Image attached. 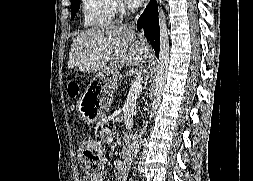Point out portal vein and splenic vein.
Instances as JSON below:
<instances>
[{"mask_svg":"<svg viewBox=\"0 0 253 181\" xmlns=\"http://www.w3.org/2000/svg\"><path fill=\"white\" fill-rule=\"evenodd\" d=\"M141 89H142V85H141L140 80H135L132 82V85L130 88L131 92H139Z\"/></svg>","mask_w":253,"mask_h":181,"instance_id":"18ae733b","label":"portal vein and splenic vein"}]
</instances>
